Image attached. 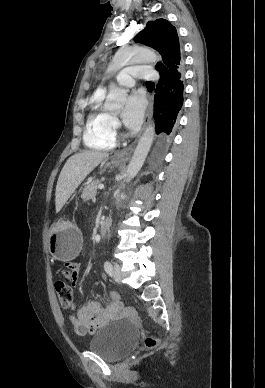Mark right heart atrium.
<instances>
[{
  "label": "right heart atrium",
  "instance_id": "right-heart-atrium-1",
  "mask_svg": "<svg viewBox=\"0 0 265 388\" xmlns=\"http://www.w3.org/2000/svg\"><path fill=\"white\" fill-rule=\"evenodd\" d=\"M111 127H112L113 130H117V129L120 128V123L117 120V118L112 117V119H111Z\"/></svg>",
  "mask_w": 265,
  "mask_h": 388
}]
</instances>
